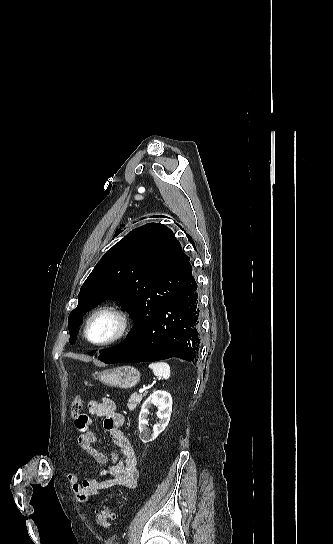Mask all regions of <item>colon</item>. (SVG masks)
Here are the masks:
<instances>
[{
    "label": "colon",
    "instance_id": "colon-1",
    "mask_svg": "<svg viewBox=\"0 0 333 544\" xmlns=\"http://www.w3.org/2000/svg\"><path fill=\"white\" fill-rule=\"evenodd\" d=\"M83 406V398L80 394L76 395L71 403L70 414L72 419L77 420ZM115 512L112 508V502L105 503L101 510L96 513V522L103 528L108 529L110 522L114 519Z\"/></svg>",
    "mask_w": 333,
    "mask_h": 544
}]
</instances>
